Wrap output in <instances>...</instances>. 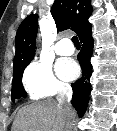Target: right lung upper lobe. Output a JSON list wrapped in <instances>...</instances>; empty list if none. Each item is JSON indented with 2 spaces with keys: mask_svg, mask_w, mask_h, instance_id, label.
<instances>
[{
  "mask_svg": "<svg viewBox=\"0 0 117 131\" xmlns=\"http://www.w3.org/2000/svg\"><path fill=\"white\" fill-rule=\"evenodd\" d=\"M91 13L90 0H55L51 8L57 29L59 31L72 29L79 38L91 32V24L88 22ZM37 20V14H31L18 28L13 61L14 70L28 65L34 57Z\"/></svg>",
  "mask_w": 117,
  "mask_h": 131,
  "instance_id": "obj_1",
  "label": "right lung upper lobe"
}]
</instances>
